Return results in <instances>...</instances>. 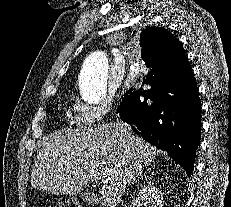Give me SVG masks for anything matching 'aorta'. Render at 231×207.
<instances>
[{
    "instance_id": "1",
    "label": "aorta",
    "mask_w": 231,
    "mask_h": 207,
    "mask_svg": "<svg viewBox=\"0 0 231 207\" xmlns=\"http://www.w3.org/2000/svg\"><path fill=\"white\" fill-rule=\"evenodd\" d=\"M109 62L102 51L91 53L83 63L79 77L82 99L89 104H98L107 93Z\"/></svg>"
}]
</instances>
